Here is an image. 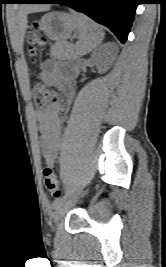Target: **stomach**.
Listing matches in <instances>:
<instances>
[{
	"instance_id": "stomach-1",
	"label": "stomach",
	"mask_w": 166,
	"mask_h": 267,
	"mask_svg": "<svg viewBox=\"0 0 166 267\" xmlns=\"http://www.w3.org/2000/svg\"><path fill=\"white\" fill-rule=\"evenodd\" d=\"M77 27L76 17L65 12L47 13L39 22V30L55 41L66 40Z\"/></svg>"
}]
</instances>
